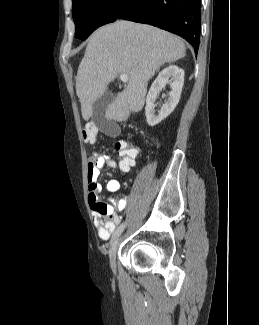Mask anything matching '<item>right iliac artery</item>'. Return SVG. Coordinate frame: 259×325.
I'll return each instance as SVG.
<instances>
[{"label":"right iliac artery","instance_id":"obj_1","mask_svg":"<svg viewBox=\"0 0 259 325\" xmlns=\"http://www.w3.org/2000/svg\"><path fill=\"white\" fill-rule=\"evenodd\" d=\"M124 227H125V223H122L116 230H115V232L113 233V235H112V240L113 239H115L116 237H118L120 234H121V232L123 231V229H124Z\"/></svg>","mask_w":259,"mask_h":325}]
</instances>
